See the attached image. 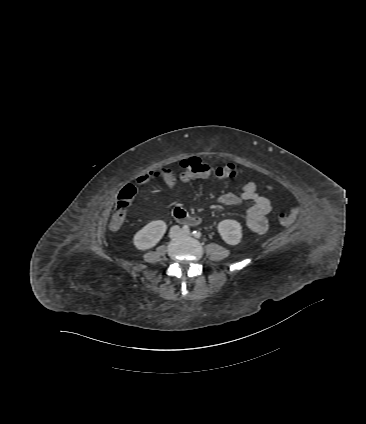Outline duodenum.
Listing matches in <instances>:
<instances>
[{
    "instance_id": "duodenum-1",
    "label": "duodenum",
    "mask_w": 366,
    "mask_h": 424,
    "mask_svg": "<svg viewBox=\"0 0 366 424\" xmlns=\"http://www.w3.org/2000/svg\"><path fill=\"white\" fill-rule=\"evenodd\" d=\"M173 217L176 219V221L180 223H192V224H198L200 222V219L189 215L184 209L182 208H175L173 210Z\"/></svg>"
}]
</instances>
